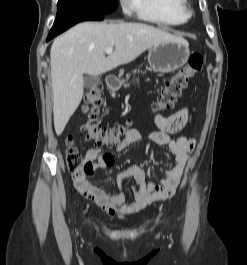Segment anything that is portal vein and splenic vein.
<instances>
[{"mask_svg": "<svg viewBox=\"0 0 247 265\" xmlns=\"http://www.w3.org/2000/svg\"><path fill=\"white\" fill-rule=\"evenodd\" d=\"M112 51H113V48H112V47H107L106 50H105V52H106L107 54L112 53Z\"/></svg>", "mask_w": 247, "mask_h": 265, "instance_id": "1", "label": "portal vein and splenic vein"}]
</instances>
